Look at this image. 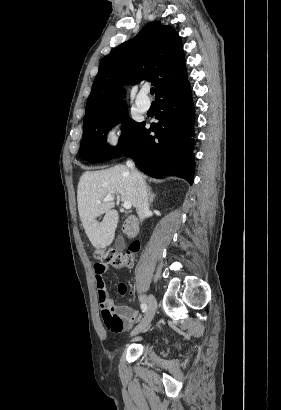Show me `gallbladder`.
Returning a JSON list of instances; mask_svg holds the SVG:
<instances>
[{
	"instance_id": "1",
	"label": "gallbladder",
	"mask_w": 281,
	"mask_h": 410,
	"mask_svg": "<svg viewBox=\"0 0 281 410\" xmlns=\"http://www.w3.org/2000/svg\"><path fill=\"white\" fill-rule=\"evenodd\" d=\"M124 248H125V243H124L123 239H120V240L117 242V249H118L119 251H122Z\"/></svg>"
}]
</instances>
